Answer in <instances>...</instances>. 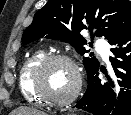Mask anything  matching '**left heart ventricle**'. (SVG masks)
<instances>
[{
    "label": "left heart ventricle",
    "instance_id": "b2bd125f",
    "mask_svg": "<svg viewBox=\"0 0 131 115\" xmlns=\"http://www.w3.org/2000/svg\"><path fill=\"white\" fill-rule=\"evenodd\" d=\"M74 85V71L67 63H52L43 73V90L53 98H66L72 92Z\"/></svg>",
    "mask_w": 131,
    "mask_h": 115
}]
</instances>
